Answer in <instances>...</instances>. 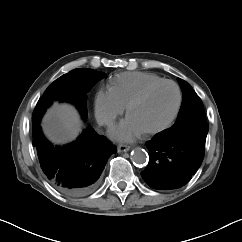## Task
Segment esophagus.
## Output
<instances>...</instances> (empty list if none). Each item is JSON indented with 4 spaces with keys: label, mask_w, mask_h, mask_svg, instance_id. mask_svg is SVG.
Masks as SVG:
<instances>
[{
    "label": "esophagus",
    "mask_w": 242,
    "mask_h": 242,
    "mask_svg": "<svg viewBox=\"0 0 242 242\" xmlns=\"http://www.w3.org/2000/svg\"><path fill=\"white\" fill-rule=\"evenodd\" d=\"M130 149H131L130 146H128V145H124V144H120V145H118V147H117V151H118V152H126V151H129Z\"/></svg>",
    "instance_id": "obj_1"
}]
</instances>
